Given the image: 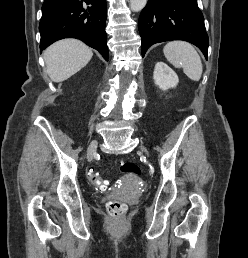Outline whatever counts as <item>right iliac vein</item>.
<instances>
[{
  "instance_id": "obj_1",
  "label": "right iliac vein",
  "mask_w": 248,
  "mask_h": 258,
  "mask_svg": "<svg viewBox=\"0 0 248 258\" xmlns=\"http://www.w3.org/2000/svg\"><path fill=\"white\" fill-rule=\"evenodd\" d=\"M97 145H98L97 140H93L90 143V145L88 147V152H87V160H88V162H91L93 160L94 155L96 153Z\"/></svg>"
}]
</instances>
